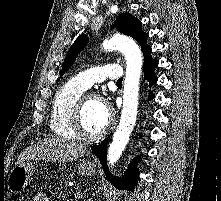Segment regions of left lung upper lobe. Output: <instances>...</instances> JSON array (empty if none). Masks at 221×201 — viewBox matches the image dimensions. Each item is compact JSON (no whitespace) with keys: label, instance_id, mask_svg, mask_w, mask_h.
<instances>
[{"label":"left lung upper lobe","instance_id":"1","mask_svg":"<svg viewBox=\"0 0 221 201\" xmlns=\"http://www.w3.org/2000/svg\"><path fill=\"white\" fill-rule=\"evenodd\" d=\"M115 27L125 35L133 37L142 47L144 54V63L151 59L152 49L147 45L148 34L141 28V22L129 13H122L115 21ZM88 43V37L85 34L80 35L69 49L60 73L62 76L74 63L77 55L84 49Z\"/></svg>","mask_w":221,"mask_h":201}]
</instances>
